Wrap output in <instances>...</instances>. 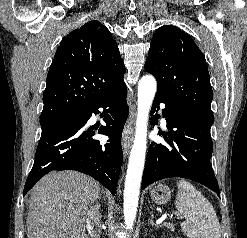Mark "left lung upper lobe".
<instances>
[{
	"label": "left lung upper lobe",
	"mask_w": 247,
	"mask_h": 238,
	"mask_svg": "<svg viewBox=\"0 0 247 238\" xmlns=\"http://www.w3.org/2000/svg\"><path fill=\"white\" fill-rule=\"evenodd\" d=\"M145 70L158 81L157 95L212 125V88L204 55L192 38L172 25L153 35Z\"/></svg>",
	"instance_id": "left-lung-upper-lobe-1"
}]
</instances>
